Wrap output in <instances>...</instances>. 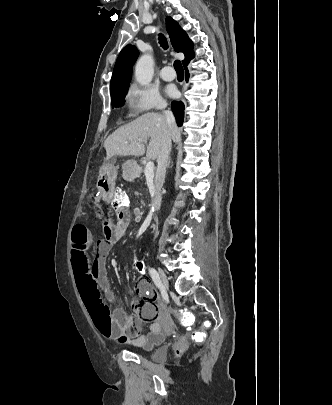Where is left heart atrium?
<instances>
[{"label": "left heart atrium", "mask_w": 332, "mask_h": 405, "mask_svg": "<svg viewBox=\"0 0 332 405\" xmlns=\"http://www.w3.org/2000/svg\"><path fill=\"white\" fill-rule=\"evenodd\" d=\"M166 93H167L169 96H174V95L176 94V89H175L173 86H168V87L166 88Z\"/></svg>", "instance_id": "1"}]
</instances>
